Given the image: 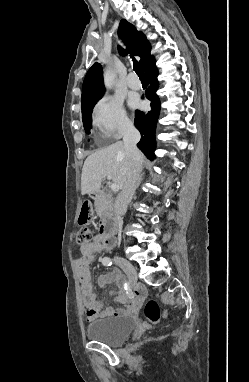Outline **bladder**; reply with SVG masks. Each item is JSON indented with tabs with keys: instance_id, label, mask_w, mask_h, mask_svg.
I'll return each mask as SVG.
<instances>
[{
	"instance_id": "1",
	"label": "bladder",
	"mask_w": 249,
	"mask_h": 382,
	"mask_svg": "<svg viewBox=\"0 0 249 382\" xmlns=\"http://www.w3.org/2000/svg\"><path fill=\"white\" fill-rule=\"evenodd\" d=\"M134 327L135 321L132 317H105L93 321L86 328V334L91 341L114 347L124 343L133 332Z\"/></svg>"
}]
</instances>
